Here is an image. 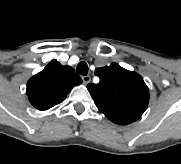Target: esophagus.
<instances>
[{"instance_id": "34e87169", "label": "esophagus", "mask_w": 181, "mask_h": 164, "mask_svg": "<svg viewBox=\"0 0 181 164\" xmlns=\"http://www.w3.org/2000/svg\"><path fill=\"white\" fill-rule=\"evenodd\" d=\"M82 80L85 84H88L91 81V77L89 75L82 76Z\"/></svg>"}]
</instances>
